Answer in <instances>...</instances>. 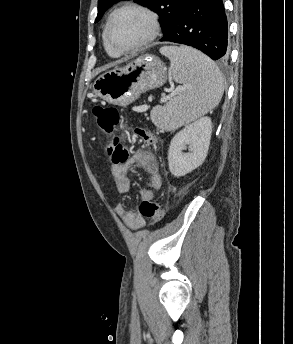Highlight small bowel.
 Instances as JSON below:
<instances>
[{
    "label": "small bowel",
    "instance_id": "obj_1",
    "mask_svg": "<svg viewBox=\"0 0 293 344\" xmlns=\"http://www.w3.org/2000/svg\"><path fill=\"white\" fill-rule=\"evenodd\" d=\"M133 169H140L148 174L151 187L158 190L162 186V176L158 161L155 155L148 150H137L129 163L112 168V178L116 189L120 194H126L131 187L129 172ZM141 199L151 201L154 199V193L150 189L140 191ZM116 214L131 229L137 230L145 225L146 217L140 212L127 209L125 205L118 204L115 208Z\"/></svg>",
    "mask_w": 293,
    "mask_h": 344
}]
</instances>
